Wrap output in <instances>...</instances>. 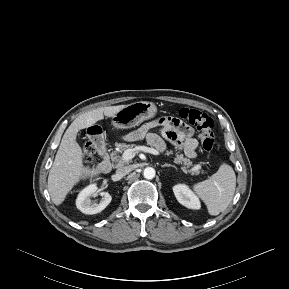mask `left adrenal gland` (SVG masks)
Returning a JSON list of instances; mask_svg holds the SVG:
<instances>
[{
    "label": "left adrenal gland",
    "instance_id": "obj_1",
    "mask_svg": "<svg viewBox=\"0 0 289 289\" xmlns=\"http://www.w3.org/2000/svg\"><path fill=\"white\" fill-rule=\"evenodd\" d=\"M161 167H173V168H176V166L171 165V164H164V165H161Z\"/></svg>",
    "mask_w": 289,
    "mask_h": 289
}]
</instances>
